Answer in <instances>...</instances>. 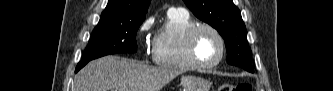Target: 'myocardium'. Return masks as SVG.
<instances>
[{"instance_id":"f54148a6","label":"myocardium","mask_w":333,"mask_h":91,"mask_svg":"<svg viewBox=\"0 0 333 91\" xmlns=\"http://www.w3.org/2000/svg\"><path fill=\"white\" fill-rule=\"evenodd\" d=\"M203 30H208L212 32L218 39L220 43V54L217 60L211 63H204L202 62L196 53V40L199 35V33ZM186 45H187V52L191 59V61L198 67L202 69H211L216 66H218L224 59L226 54V43L223 35L221 32L215 28L214 26L210 24H196L188 33L186 36Z\"/></svg>"}]
</instances>
